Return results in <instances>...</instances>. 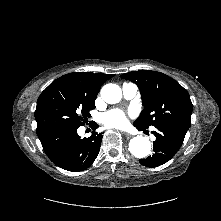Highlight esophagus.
<instances>
[{"instance_id":"1","label":"esophagus","mask_w":221,"mask_h":221,"mask_svg":"<svg viewBox=\"0 0 221 221\" xmlns=\"http://www.w3.org/2000/svg\"><path fill=\"white\" fill-rule=\"evenodd\" d=\"M123 134H124L127 138H131V134H130V133L123 132Z\"/></svg>"}]
</instances>
